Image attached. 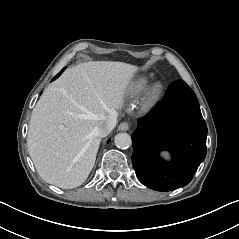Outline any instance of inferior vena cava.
<instances>
[{
  "mask_svg": "<svg viewBox=\"0 0 239 239\" xmlns=\"http://www.w3.org/2000/svg\"><path fill=\"white\" fill-rule=\"evenodd\" d=\"M117 114H110L106 120L98 127L96 133L99 137L107 136L116 126Z\"/></svg>",
  "mask_w": 239,
  "mask_h": 239,
  "instance_id": "obj_1",
  "label": "inferior vena cava"
}]
</instances>
